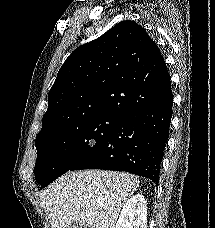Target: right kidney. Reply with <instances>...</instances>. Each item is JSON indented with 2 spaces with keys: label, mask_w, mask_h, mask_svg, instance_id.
<instances>
[{
  "label": "right kidney",
  "mask_w": 215,
  "mask_h": 228,
  "mask_svg": "<svg viewBox=\"0 0 215 228\" xmlns=\"http://www.w3.org/2000/svg\"><path fill=\"white\" fill-rule=\"evenodd\" d=\"M115 228H147V204L142 194L125 202Z\"/></svg>",
  "instance_id": "ca27d5eb"
}]
</instances>
